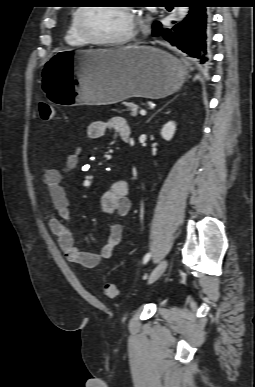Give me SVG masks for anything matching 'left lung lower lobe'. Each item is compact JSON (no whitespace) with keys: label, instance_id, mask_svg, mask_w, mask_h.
Masks as SVG:
<instances>
[{"label":"left lung lower lobe","instance_id":"0a47b994","mask_svg":"<svg viewBox=\"0 0 255 387\" xmlns=\"http://www.w3.org/2000/svg\"><path fill=\"white\" fill-rule=\"evenodd\" d=\"M190 7L185 19L172 29L161 28L160 22L153 25V36H163L171 45L190 57L193 66H204L211 58V12L212 0H184ZM169 10V9H168Z\"/></svg>","mask_w":255,"mask_h":387}]
</instances>
